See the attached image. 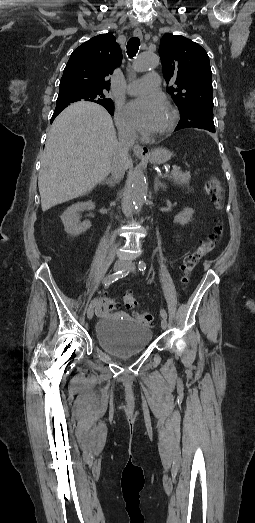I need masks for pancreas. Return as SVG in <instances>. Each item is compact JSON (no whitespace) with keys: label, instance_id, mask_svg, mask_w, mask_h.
Returning a JSON list of instances; mask_svg holds the SVG:
<instances>
[{"label":"pancreas","instance_id":"1","mask_svg":"<svg viewBox=\"0 0 255 523\" xmlns=\"http://www.w3.org/2000/svg\"><path fill=\"white\" fill-rule=\"evenodd\" d=\"M168 178H171V180H174V182H177V184H188L191 176L190 172H186V174H182V172L175 174L173 172L170 174V176H168Z\"/></svg>","mask_w":255,"mask_h":523}]
</instances>
